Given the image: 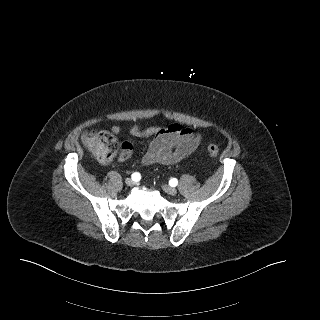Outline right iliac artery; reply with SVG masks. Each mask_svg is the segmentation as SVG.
Segmentation results:
<instances>
[{"instance_id":"right-iliac-artery-1","label":"right iliac artery","mask_w":320,"mask_h":320,"mask_svg":"<svg viewBox=\"0 0 320 320\" xmlns=\"http://www.w3.org/2000/svg\"><path fill=\"white\" fill-rule=\"evenodd\" d=\"M131 177H132V180L138 181L140 179V174L135 172L131 175Z\"/></svg>"}]
</instances>
